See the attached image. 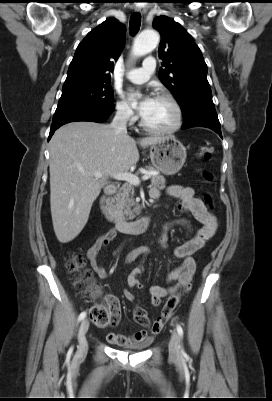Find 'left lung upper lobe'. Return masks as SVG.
Instances as JSON below:
<instances>
[{
  "label": "left lung upper lobe",
  "mask_w": 272,
  "mask_h": 401,
  "mask_svg": "<svg viewBox=\"0 0 272 401\" xmlns=\"http://www.w3.org/2000/svg\"><path fill=\"white\" fill-rule=\"evenodd\" d=\"M153 27L161 34L159 58L164 69L159 79L179 103L183 117L205 108H215L207 80V65L192 36L167 16L153 20Z\"/></svg>",
  "instance_id": "5c2ea615"
}]
</instances>
